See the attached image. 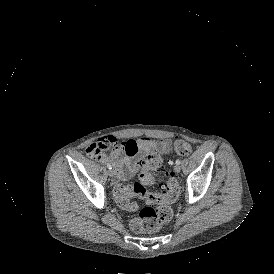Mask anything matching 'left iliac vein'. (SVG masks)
Here are the masks:
<instances>
[{
  "label": "left iliac vein",
  "mask_w": 274,
  "mask_h": 274,
  "mask_svg": "<svg viewBox=\"0 0 274 274\" xmlns=\"http://www.w3.org/2000/svg\"><path fill=\"white\" fill-rule=\"evenodd\" d=\"M180 170H181L180 165L176 164V165L174 166V171H175L176 173H178V172H180Z\"/></svg>",
  "instance_id": "1"
}]
</instances>
